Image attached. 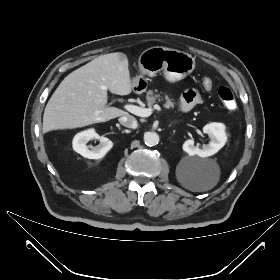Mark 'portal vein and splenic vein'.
<instances>
[{"instance_id": "1", "label": "portal vein and splenic vein", "mask_w": 280, "mask_h": 280, "mask_svg": "<svg viewBox=\"0 0 280 280\" xmlns=\"http://www.w3.org/2000/svg\"><path fill=\"white\" fill-rule=\"evenodd\" d=\"M124 108L127 111H129L130 113H132L134 115H137V116H140V117H148V116H150L152 114V112H153V109L158 110V111L161 110L159 105H154L153 108H142V107H138V106L133 105V104H126L124 106Z\"/></svg>"}]
</instances>
